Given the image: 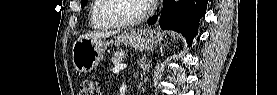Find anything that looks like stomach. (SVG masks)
<instances>
[{"instance_id":"stomach-1","label":"stomach","mask_w":277,"mask_h":95,"mask_svg":"<svg viewBox=\"0 0 277 95\" xmlns=\"http://www.w3.org/2000/svg\"><path fill=\"white\" fill-rule=\"evenodd\" d=\"M117 43H125L140 49H152L158 42V34L153 30L131 29L116 38ZM111 42L100 39L78 38L72 47V62L76 71L88 73L95 68L103 57L105 48Z\"/></svg>"}]
</instances>
